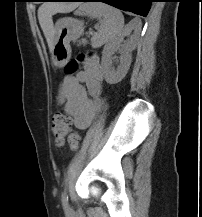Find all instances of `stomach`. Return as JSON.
Here are the masks:
<instances>
[{
  "mask_svg": "<svg viewBox=\"0 0 202 217\" xmlns=\"http://www.w3.org/2000/svg\"><path fill=\"white\" fill-rule=\"evenodd\" d=\"M83 23L71 17L60 19L55 26L52 60L55 66H64L71 57L70 42L78 39L83 32Z\"/></svg>",
  "mask_w": 202,
  "mask_h": 217,
  "instance_id": "obj_1",
  "label": "stomach"
}]
</instances>
